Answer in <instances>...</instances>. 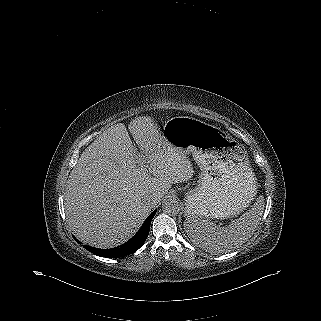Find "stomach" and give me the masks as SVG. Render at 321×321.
I'll list each match as a JSON object with an SVG mask.
<instances>
[{
    "mask_svg": "<svg viewBox=\"0 0 321 321\" xmlns=\"http://www.w3.org/2000/svg\"><path fill=\"white\" fill-rule=\"evenodd\" d=\"M162 136L184 154H192L201 174L198 186L186 193V215L228 218L253 199L256 182L246 152L219 128L193 117L165 122Z\"/></svg>",
    "mask_w": 321,
    "mask_h": 321,
    "instance_id": "obj_1",
    "label": "stomach"
}]
</instances>
